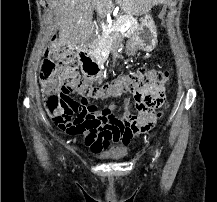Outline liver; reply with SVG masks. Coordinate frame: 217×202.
<instances>
[{"label": "liver", "mask_w": 217, "mask_h": 202, "mask_svg": "<svg viewBox=\"0 0 217 202\" xmlns=\"http://www.w3.org/2000/svg\"><path fill=\"white\" fill-rule=\"evenodd\" d=\"M54 10L59 26V46H74L86 42L93 34L92 22L94 10L100 18L112 12V0H46ZM122 14L142 16L150 12L153 6L164 4L165 0H116Z\"/></svg>", "instance_id": "1"}]
</instances>
